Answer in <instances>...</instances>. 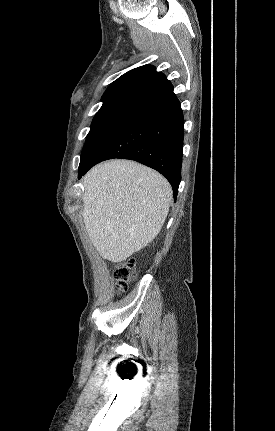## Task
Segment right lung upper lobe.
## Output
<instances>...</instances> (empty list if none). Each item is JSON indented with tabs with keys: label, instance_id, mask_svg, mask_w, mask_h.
<instances>
[{
	"label": "right lung upper lobe",
	"instance_id": "obj_1",
	"mask_svg": "<svg viewBox=\"0 0 275 431\" xmlns=\"http://www.w3.org/2000/svg\"><path fill=\"white\" fill-rule=\"evenodd\" d=\"M171 91L173 86L163 73L151 65L140 66L123 74L107 88L97 114L116 110L137 111Z\"/></svg>",
	"mask_w": 275,
	"mask_h": 431
}]
</instances>
